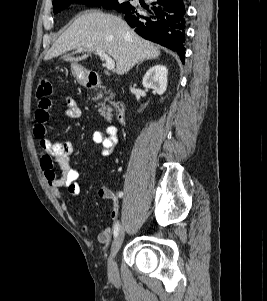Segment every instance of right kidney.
<instances>
[{
  "label": "right kidney",
  "mask_w": 267,
  "mask_h": 301,
  "mask_svg": "<svg viewBox=\"0 0 267 301\" xmlns=\"http://www.w3.org/2000/svg\"><path fill=\"white\" fill-rule=\"evenodd\" d=\"M168 69L163 65L151 67L143 77L145 88H152L158 95H163L167 88Z\"/></svg>",
  "instance_id": "right-kidney-1"
}]
</instances>
